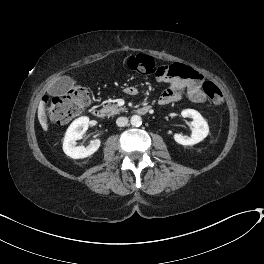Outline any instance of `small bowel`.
<instances>
[{
	"label": "small bowel",
	"instance_id": "obj_1",
	"mask_svg": "<svg viewBox=\"0 0 264 264\" xmlns=\"http://www.w3.org/2000/svg\"><path fill=\"white\" fill-rule=\"evenodd\" d=\"M171 71V76L161 78V80L169 82L170 87L160 95L158 99L160 105L180 101L183 97L198 103L206 100V94L202 88L204 81L202 75L179 64L172 65ZM136 92L137 89L134 86L128 87L125 91L128 95H135Z\"/></svg>",
	"mask_w": 264,
	"mask_h": 264
}]
</instances>
